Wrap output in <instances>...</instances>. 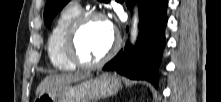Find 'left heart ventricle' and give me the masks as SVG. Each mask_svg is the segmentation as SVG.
I'll list each match as a JSON object with an SVG mask.
<instances>
[{
    "mask_svg": "<svg viewBox=\"0 0 221 102\" xmlns=\"http://www.w3.org/2000/svg\"><path fill=\"white\" fill-rule=\"evenodd\" d=\"M112 41L113 35L107 30L104 20H89L78 34V53L85 61H96L109 50Z\"/></svg>",
    "mask_w": 221,
    "mask_h": 102,
    "instance_id": "1",
    "label": "left heart ventricle"
}]
</instances>
